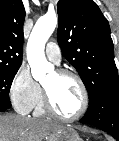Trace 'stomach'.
Returning a JSON list of instances; mask_svg holds the SVG:
<instances>
[{"label":"stomach","instance_id":"1","mask_svg":"<svg viewBox=\"0 0 119 141\" xmlns=\"http://www.w3.org/2000/svg\"><path fill=\"white\" fill-rule=\"evenodd\" d=\"M47 141H82V139L72 127L62 126L60 129L51 132Z\"/></svg>","mask_w":119,"mask_h":141}]
</instances>
